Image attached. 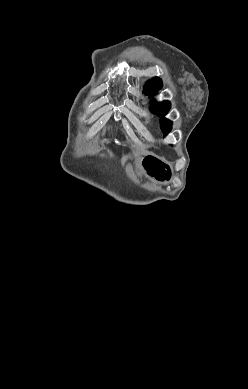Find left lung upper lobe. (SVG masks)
Listing matches in <instances>:
<instances>
[{"mask_svg":"<svg viewBox=\"0 0 248 389\" xmlns=\"http://www.w3.org/2000/svg\"><path fill=\"white\" fill-rule=\"evenodd\" d=\"M161 87L162 80L158 77H154L144 85L143 93L154 96ZM170 107L169 101L157 102L151 106V112L161 117V130L164 135H167V133L170 132L172 126V122L164 118Z\"/></svg>","mask_w":248,"mask_h":389,"instance_id":"1","label":"left lung upper lobe"}]
</instances>
